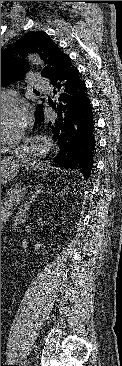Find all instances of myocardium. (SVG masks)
I'll return each mask as SVG.
<instances>
[{"mask_svg": "<svg viewBox=\"0 0 122 366\" xmlns=\"http://www.w3.org/2000/svg\"><path fill=\"white\" fill-rule=\"evenodd\" d=\"M6 113L10 115H17L18 119H14L15 117L13 116L12 119H14V122H16L17 124L14 126L13 130L6 137L3 136L1 137L2 146L11 145L13 143L14 136L22 131L21 125L22 120H24L23 115L17 109L15 103L6 98L1 97V118H3L4 114Z\"/></svg>", "mask_w": 122, "mask_h": 366, "instance_id": "myocardium-1", "label": "myocardium"}]
</instances>
